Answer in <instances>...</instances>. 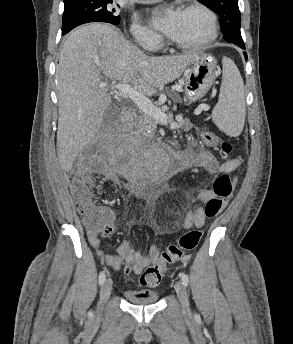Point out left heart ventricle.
<instances>
[{"mask_svg":"<svg viewBox=\"0 0 293 344\" xmlns=\"http://www.w3.org/2000/svg\"><path fill=\"white\" fill-rule=\"evenodd\" d=\"M209 32V21L204 13L198 10L179 11L171 33V39L180 42L202 40Z\"/></svg>","mask_w":293,"mask_h":344,"instance_id":"b2bd125f","label":"left heart ventricle"}]
</instances>
